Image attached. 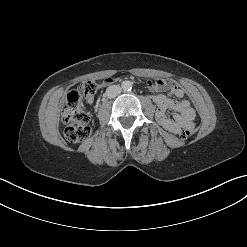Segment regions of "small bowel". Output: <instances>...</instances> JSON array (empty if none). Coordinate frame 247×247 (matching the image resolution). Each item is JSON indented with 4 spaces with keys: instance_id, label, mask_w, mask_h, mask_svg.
Instances as JSON below:
<instances>
[{
    "instance_id": "obj_1",
    "label": "small bowel",
    "mask_w": 247,
    "mask_h": 247,
    "mask_svg": "<svg viewBox=\"0 0 247 247\" xmlns=\"http://www.w3.org/2000/svg\"><path fill=\"white\" fill-rule=\"evenodd\" d=\"M114 82L112 78H106L101 83V87H106ZM147 87L157 92L153 96V101L157 106L156 119L158 123L167 131L177 134L183 128L192 131L195 127V111L188 100L182 99L185 95L184 90L168 79H156L149 81ZM168 91L178 100L169 98L163 92ZM87 102L92 104L94 98L88 97ZM175 111L174 117L171 119L167 116V111Z\"/></svg>"
}]
</instances>
